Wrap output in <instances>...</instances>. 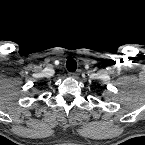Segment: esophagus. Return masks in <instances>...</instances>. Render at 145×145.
Wrapping results in <instances>:
<instances>
[{
  "label": "esophagus",
  "instance_id": "esophagus-1",
  "mask_svg": "<svg viewBox=\"0 0 145 145\" xmlns=\"http://www.w3.org/2000/svg\"><path fill=\"white\" fill-rule=\"evenodd\" d=\"M79 74H80V70H77L76 72H69V76L73 78L77 77Z\"/></svg>",
  "mask_w": 145,
  "mask_h": 145
}]
</instances>
